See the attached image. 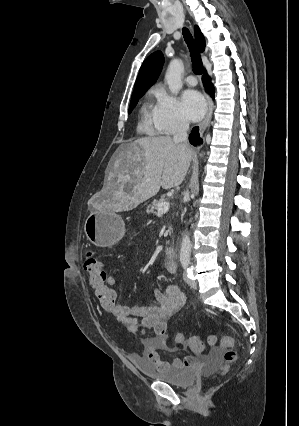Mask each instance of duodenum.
<instances>
[{
	"label": "duodenum",
	"mask_w": 299,
	"mask_h": 426,
	"mask_svg": "<svg viewBox=\"0 0 299 426\" xmlns=\"http://www.w3.org/2000/svg\"><path fill=\"white\" fill-rule=\"evenodd\" d=\"M176 257V250L173 247H167L165 250V259L169 261H175Z\"/></svg>",
	"instance_id": "410a0bca"
}]
</instances>
